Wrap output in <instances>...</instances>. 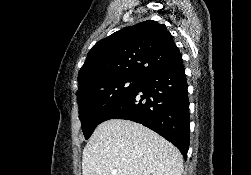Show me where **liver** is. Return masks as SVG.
Returning <instances> with one entry per match:
<instances>
[{"label":"liver","instance_id":"1","mask_svg":"<svg viewBox=\"0 0 251 175\" xmlns=\"http://www.w3.org/2000/svg\"><path fill=\"white\" fill-rule=\"evenodd\" d=\"M183 157L170 141L130 119L97 125L83 149V175H182Z\"/></svg>","mask_w":251,"mask_h":175}]
</instances>
